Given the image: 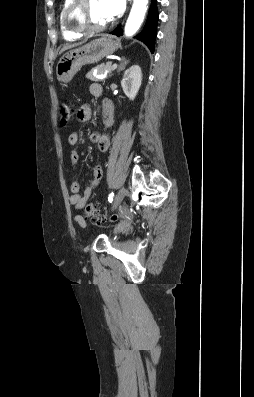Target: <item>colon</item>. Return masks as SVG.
<instances>
[{"mask_svg": "<svg viewBox=\"0 0 254 397\" xmlns=\"http://www.w3.org/2000/svg\"><path fill=\"white\" fill-rule=\"evenodd\" d=\"M72 106L68 102H63L59 107V118L62 126H65L72 116ZM86 215L95 221L102 219V216L95 203H89L85 209Z\"/></svg>", "mask_w": 254, "mask_h": 397, "instance_id": "obj_1", "label": "colon"}]
</instances>
